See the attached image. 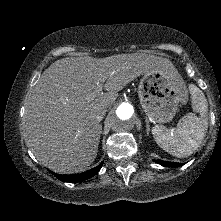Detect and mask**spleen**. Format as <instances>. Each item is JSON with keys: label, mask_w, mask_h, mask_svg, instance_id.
Here are the masks:
<instances>
[{"label": "spleen", "mask_w": 221, "mask_h": 221, "mask_svg": "<svg viewBox=\"0 0 221 221\" xmlns=\"http://www.w3.org/2000/svg\"><path fill=\"white\" fill-rule=\"evenodd\" d=\"M189 92L193 110L200 113V117L189 113L179 120L176 128L168 129L158 125L152 128L156 143L166 152L179 158L190 156L200 146L208 128V103L205 95L194 84L189 85Z\"/></svg>", "instance_id": "1"}]
</instances>
